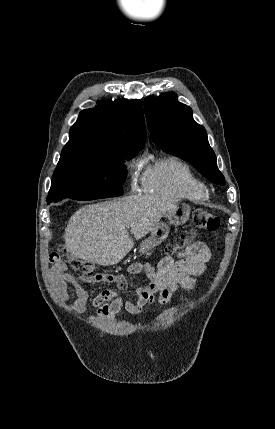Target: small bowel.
Segmentation results:
<instances>
[{"instance_id":"1","label":"small bowel","mask_w":275,"mask_h":429,"mask_svg":"<svg viewBox=\"0 0 275 429\" xmlns=\"http://www.w3.org/2000/svg\"><path fill=\"white\" fill-rule=\"evenodd\" d=\"M210 259V251L202 242H196L178 255L164 257L156 267L136 262L128 267V272L138 274L144 272V285L134 289V298H122L113 290H103L91 302L97 310L96 318L113 320L122 309L131 314H140L143 309L152 304L156 295L160 304L167 303L172 295L180 290L190 291L195 287L193 276L201 275ZM113 283L120 289L127 287L126 278L122 274H102L94 278H76L66 272V265L57 260L54 268L53 289L61 300L68 298L66 285L74 287L76 300L70 305L75 312L85 309L89 301L88 293L83 289V283Z\"/></svg>"}]
</instances>
